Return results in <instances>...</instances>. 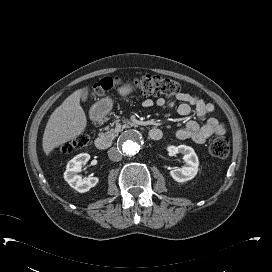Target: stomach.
I'll return each instance as SVG.
<instances>
[{"instance_id":"0dacf381","label":"stomach","mask_w":272,"mask_h":272,"mask_svg":"<svg viewBox=\"0 0 272 272\" xmlns=\"http://www.w3.org/2000/svg\"><path fill=\"white\" fill-rule=\"evenodd\" d=\"M133 91L134 87L130 84H125L118 89L119 94L124 97L131 94ZM102 104H104L107 110H110L112 107V101L110 99L103 100Z\"/></svg>"}]
</instances>
